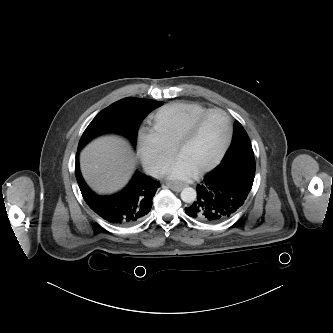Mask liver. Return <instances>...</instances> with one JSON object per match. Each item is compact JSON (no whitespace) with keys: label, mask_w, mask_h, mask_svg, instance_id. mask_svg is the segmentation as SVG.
<instances>
[{"label":"liver","mask_w":333,"mask_h":333,"mask_svg":"<svg viewBox=\"0 0 333 333\" xmlns=\"http://www.w3.org/2000/svg\"><path fill=\"white\" fill-rule=\"evenodd\" d=\"M80 166L84 179L98 193L120 189L134 169L129 145L119 137H101L83 149Z\"/></svg>","instance_id":"obj_1"}]
</instances>
